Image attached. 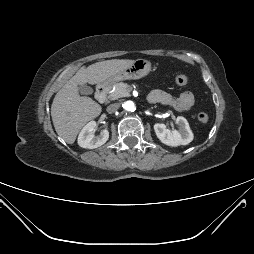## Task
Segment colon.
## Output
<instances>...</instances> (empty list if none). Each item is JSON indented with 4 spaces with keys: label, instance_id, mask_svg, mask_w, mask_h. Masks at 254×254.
<instances>
[{
    "label": "colon",
    "instance_id": "obj_1",
    "mask_svg": "<svg viewBox=\"0 0 254 254\" xmlns=\"http://www.w3.org/2000/svg\"><path fill=\"white\" fill-rule=\"evenodd\" d=\"M174 80H175V83L178 84V85H181V86L186 85L188 83L189 76L186 73L178 74V75L175 76ZM197 119L201 123H207L209 118H208V115L206 113L200 112L197 115Z\"/></svg>",
    "mask_w": 254,
    "mask_h": 254
}]
</instances>
